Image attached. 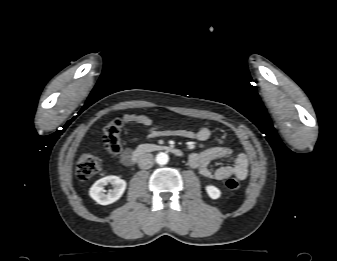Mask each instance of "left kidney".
Segmentation results:
<instances>
[{"mask_svg": "<svg viewBox=\"0 0 337 261\" xmlns=\"http://www.w3.org/2000/svg\"><path fill=\"white\" fill-rule=\"evenodd\" d=\"M206 192L212 199H218L221 196V191L213 185L206 186Z\"/></svg>", "mask_w": 337, "mask_h": 261, "instance_id": "5707ae66", "label": "left kidney"}]
</instances>
